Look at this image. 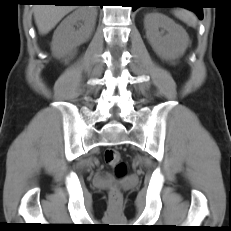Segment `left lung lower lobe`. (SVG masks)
<instances>
[{
  "label": "left lung lower lobe",
  "instance_id": "left-lung-lower-lobe-1",
  "mask_svg": "<svg viewBox=\"0 0 231 231\" xmlns=\"http://www.w3.org/2000/svg\"><path fill=\"white\" fill-rule=\"evenodd\" d=\"M161 0H133V10L137 9L138 7H155L157 6L158 2ZM175 3H183L188 4L186 6H183L187 9L192 10L195 12L200 19H203V12L202 7H197V2L194 1H178Z\"/></svg>",
  "mask_w": 231,
  "mask_h": 231
}]
</instances>
